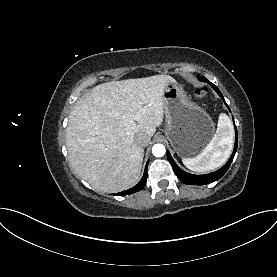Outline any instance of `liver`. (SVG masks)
<instances>
[{
    "label": "liver",
    "mask_w": 277,
    "mask_h": 277,
    "mask_svg": "<svg viewBox=\"0 0 277 277\" xmlns=\"http://www.w3.org/2000/svg\"><path fill=\"white\" fill-rule=\"evenodd\" d=\"M169 75L99 84L73 106L66 147L75 172L97 191L116 193L140 178L144 150L135 136L149 142L164 115Z\"/></svg>",
    "instance_id": "liver-1"
}]
</instances>
